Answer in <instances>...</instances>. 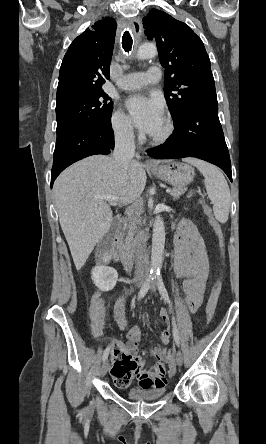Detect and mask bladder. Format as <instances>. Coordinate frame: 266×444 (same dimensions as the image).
<instances>
[{"label":"bladder","instance_id":"31cf9c89","mask_svg":"<svg viewBox=\"0 0 266 444\" xmlns=\"http://www.w3.org/2000/svg\"><path fill=\"white\" fill-rule=\"evenodd\" d=\"M165 393H166L165 388H157V389L131 388L126 392V396L134 400H156L163 397Z\"/></svg>","mask_w":266,"mask_h":444}]
</instances>
